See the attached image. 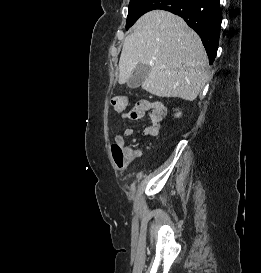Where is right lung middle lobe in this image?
Here are the masks:
<instances>
[{
	"label": "right lung middle lobe",
	"mask_w": 261,
	"mask_h": 273,
	"mask_svg": "<svg viewBox=\"0 0 261 273\" xmlns=\"http://www.w3.org/2000/svg\"><path fill=\"white\" fill-rule=\"evenodd\" d=\"M164 0H131L127 16L126 29H129L137 19L148 11L161 9L159 4Z\"/></svg>",
	"instance_id": "1"
}]
</instances>
